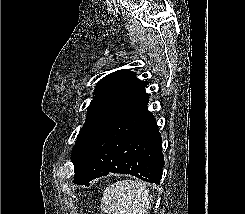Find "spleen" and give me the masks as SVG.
Listing matches in <instances>:
<instances>
[{
    "label": "spleen",
    "instance_id": "spleen-1",
    "mask_svg": "<svg viewBox=\"0 0 245 214\" xmlns=\"http://www.w3.org/2000/svg\"><path fill=\"white\" fill-rule=\"evenodd\" d=\"M149 207L146 185L140 181H117L103 193L101 211L106 214H145Z\"/></svg>",
    "mask_w": 245,
    "mask_h": 214
}]
</instances>
